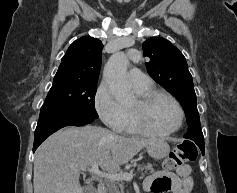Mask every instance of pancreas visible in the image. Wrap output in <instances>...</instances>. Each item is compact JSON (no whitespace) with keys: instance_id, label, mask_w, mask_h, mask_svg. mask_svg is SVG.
I'll use <instances>...</instances> for the list:
<instances>
[{"instance_id":"pancreas-1","label":"pancreas","mask_w":237,"mask_h":193,"mask_svg":"<svg viewBox=\"0 0 237 193\" xmlns=\"http://www.w3.org/2000/svg\"><path fill=\"white\" fill-rule=\"evenodd\" d=\"M138 167L142 175L147 174L149 172L151 173L154 171L153 166L150 163H147L146 165L141 164V165H138ZM108 189H109V193H124V183L111 182L108 184Z\"/></svg>"}]
</instances>
